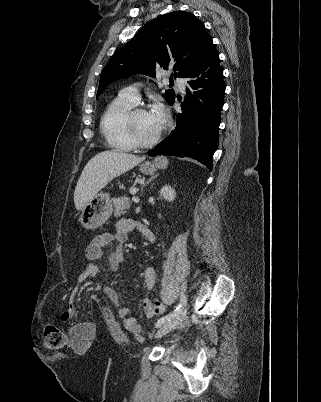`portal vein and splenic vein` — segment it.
<instances>
[{
	"mask_svg": "<svg viewBox=\"0 0 321 402\" xmlns=\"http://www.w3.org/2000/svg\"><path fill=\"white\" fill-rule=\"evenodd\" d=\"M132 201L135 202V203H138V202H139V198L136 197V196H133V197H132Z\"/></svg>",
	"mask_w": 321,
	"mask_h": 402,
	"instance_id": "18ae733b",
	"label": "portal vein and splenic vein"
}]
</instances>
